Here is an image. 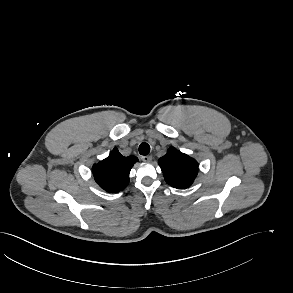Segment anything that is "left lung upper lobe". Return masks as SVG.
Here are the masks:
<instances>
[{
    "instance_id": "1",
    "label": "left lung upper lobe",
    "mask_w": 293,
    "mask_h": 293,
    "mask_svg": "<svg viewBox=\"0 0 293 293\" xmlns=\"http://www.w3.org/2000/svg\"><path fill=\"white\" fill-rule=\"evenodd\" d=\"M165 181L177 189L188 188L198 174V163L190 156L170 147L158 160Z\"/></svg>"
}]
</instances>
